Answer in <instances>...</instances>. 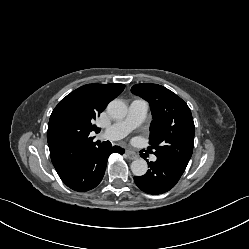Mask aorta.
Masks as SVG:
<instances>
[{
    "label": "aorta",
    "mask_w": 249,
    "mask_h": 249,
    "mask_svg": "<svg viewBox=\"0 0 249 249\" xmlns=\"http://www.w3.org/2000/svg\"><path fill=\"white\" fill-rule=\"evenodd\" d=\"M107 112L114 119H122L127 114V106L123 101L114 99L108 104ZM147 170L148 165L144 159H136L131 163V171L135 176H143Z\"/></svg>",
    "instance_id": "762f6f07"
}]
</instances>
